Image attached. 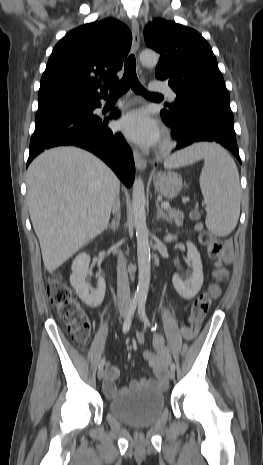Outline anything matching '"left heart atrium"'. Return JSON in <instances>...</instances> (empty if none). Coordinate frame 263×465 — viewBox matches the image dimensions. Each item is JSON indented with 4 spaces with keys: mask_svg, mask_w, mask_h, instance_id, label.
Here are the masks:
<instances>
[{
    "mask_svg": "<svg viewBox=\"0 0 263 465\" xmlns=\"http://www.w3.org/2000/svg\"><path fill=\"white\" fill-rule=\"evenodd\" d=\"M118 130L128 139L151 146L160 137L158 123L143 109H135L124 114L117 122Z\"/></svg>",
    "mask_w": 263,
    "mask_h": 465,
    "instance_id": "obj_1",
    "label": "left heart atrium"
}]
</instances>
